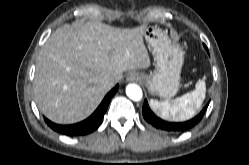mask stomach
<instances>
[{
	"label": "stomach",
	"mask_w": 249,
	"mask_h": 165,
	"mask_svg": "<svg viewBox=\"0 0 249 165\" xmlns=\"http://www.w3.org/2000/svg\"><path fill=\"white\" fill-rule=\"evenodd\" d=\"M144 38L154 56L155 70L150 75L140 73V77L145 81L150 94L171 98L177 94L180 87L184 53L156 26H147Z\"/></svg>",
	"instance_id": "stomach-1"
}]
</instances>
